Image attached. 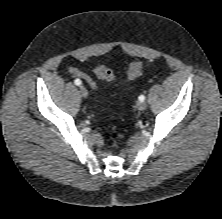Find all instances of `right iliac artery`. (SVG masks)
I'll return each instance as SVG.
<instances>
[{
  "label": "right iliac artery",
  "instance_id": "1",
  "mask_svg": "<svg viewBox=\"0 0 222 219\" xmlns=\"http://www.w3.org/2000/svg\"><path fill=\"white\" fill-rule=\"evenodd\" d=\"M74 83H75L77 86H79V85H81V84H82V82H81V80H80V79H76V80L74 81Z\"/></svg>",
  "mask_w": 222,
  "mask_h": 219
}]
</instances>
